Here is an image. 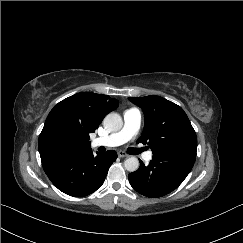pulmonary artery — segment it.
<instances>
[{
  "label": "pulmonary artery",
  "instance_id": "e3ab8cb5",
  "mask_svg": "<svg viewBox=\"0 0 243 243\" xmlns=\"http://www.w3.org/2000/svg\"><path fill=\"white\" fill-rule=\"evenodd\" d=\"M124 125L118 132L110 134L105 137L95 138L91 141L93 148L99 146L116 147L124 144L129 139L134 137L141 125V112L137 108H129L123 113ZM152 158V152L148 151L143 155L145 161H149Z\"/></svg>",
  "mask_w": 243,
  "mask_h": 243
}]
</instances>
